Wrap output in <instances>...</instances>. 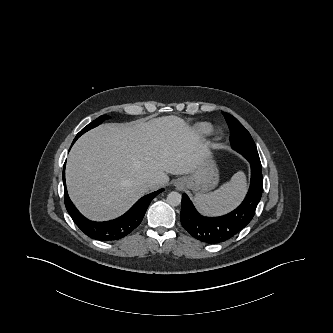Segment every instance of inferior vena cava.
<instances>
[{
    "label": "inferior vena cava",
    "instance_id": "obj_1",
    "mask_svg": "<svg viewBox=\"0 0 333 333\" xmlns=\"http://www.w3.org/2000/svg\"><path fill=\"white\" fill-rule=\"evenodd\" d=\"M155 183H156V180H154V179L148 180V184H150V185H154Z\"/></svg>",
    "mask_w": 333,
    "mask_h": 333
}]
</instances>
